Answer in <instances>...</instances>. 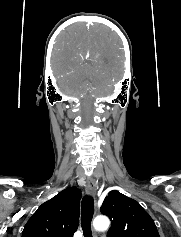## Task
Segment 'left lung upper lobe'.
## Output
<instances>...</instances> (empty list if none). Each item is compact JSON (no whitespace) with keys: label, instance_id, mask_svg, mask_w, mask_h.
Wrapping results in <instances>:
<instances>
[{"label":"left lung upper lobe","instance_id":"5c2ea615","mask_svg":"<svg viewBox=\"0 0 181 237\" xmlns=\"http://www.w3.org/2000/svg\"><path fill=\"white\" fill-rule=\"evenodd\" d=\"M101 213L112 220L107 237H160L150 215L141 205L117 190L109 192Z\"/></svg>","mask_w":181,"mask_h":237}]
</instances>
